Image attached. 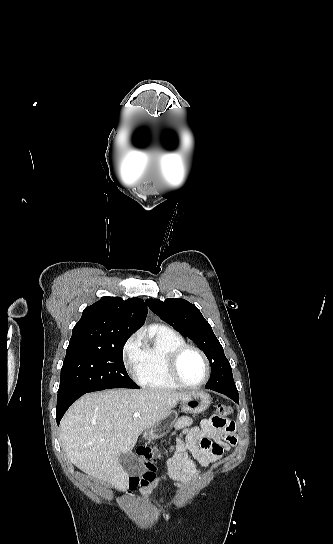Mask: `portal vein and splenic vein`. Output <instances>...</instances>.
Returning <instances> with one entry per match:
<instances>
[{
    "label": "portal vein and splenic vein",
    "instance_id": "1",
    "mask_svg": "<svg viewBox=\"0 0 333 544\" xmlns=\"http://www.w3.org/2000/svg\"><path fill=\"white\" fill-rule=\"evenodd\" d=\"M133 416H134L135 418H138V417H140V413L136 412V413H134Z\"/></svg>",
    "mask_w": 333,
    "mask_h": 544
}]
</instances>
